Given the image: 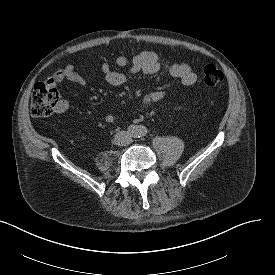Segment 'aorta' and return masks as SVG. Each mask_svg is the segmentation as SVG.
I'll use <instances>...</instances> for the list:
<instances>
[{"label":"aorta","mask_w":275,"mask_h":275,"mask_svg":"<svg viewBox=\"0 0 275 275\" xmlns=\"http://www.w3.org/2000/svg\"><path fill=\"white\" fill-rule=\"evenodd\" d=\"M145 132V129L143 127H136L133 131H132V135L133 136H140L143 135Z\"/></svg>","instance_id":"aorta-1"}]
</instances>
